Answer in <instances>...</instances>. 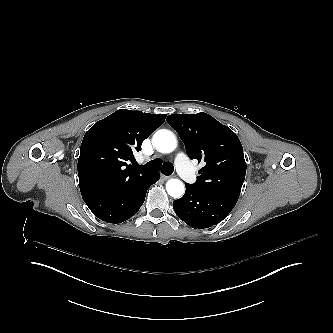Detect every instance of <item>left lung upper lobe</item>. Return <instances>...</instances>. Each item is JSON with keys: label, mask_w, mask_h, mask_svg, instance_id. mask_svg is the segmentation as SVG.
I'll return each instance as SVG.
<instances>
[{"label": "left lung upper lobe", "mask_w": 333, "mask_h": 333, "mask_svg": "<svg viewBox=\"0 0 333 333\" xmlns=\"http://www.w3.org/2000/svg\"><path fill=\"white\" fill-rule=\"evenodd\" d=\"M167 122L185 143L190 159L206 163L193 185L205 193L238 199L246 162L237 135L206 113L169 115Z\"/></svg>", "instance_id": "obj_1"}]
</instances>
